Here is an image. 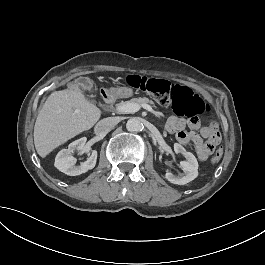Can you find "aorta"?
<instances>
[{"instance_id":"obj_1","label":"aorta","mask_w":265,"mask_h":265,"mask_svg":"<svg viewBox=\"0 0 265 265\" xmlns=\"http://www.w3.org/2000/svg\"><path fill=\"white\" fill-rule=\"evenodd\" d=\"M126 128L130 132H138L142 128V123L139 118L133 117L127 121Z\"/></svg>"}]
</instances>
